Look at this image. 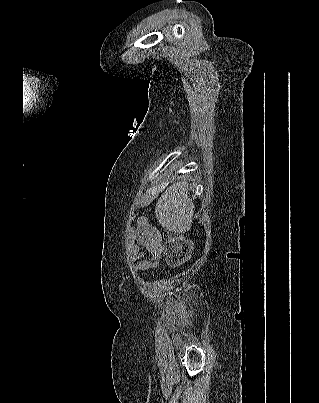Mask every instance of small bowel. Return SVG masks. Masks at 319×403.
I'll return each instance as SVG.
<instances>
[{"instance_id": "small-bowel-1", "label": "small bowel", "mask_w": 319, "mask_h": 403, "mask_svg": "<svg viewBox=\"0 0 319 403\" xmlns=\"http://www.w3.org/2000/svg\"><path fill=\"white\" fill-rule=\"evenodd\" d=\"M139 239H141L140 236H139ZM132 256L134 258L137 257L139 259V262L136 264L134 271L146 270L148 268H154L157 266V262L144 259L146 256L150 257L149 251L147 248H138L137 244L133 245L132 246Z\"/></svg>"}]
</instances>
